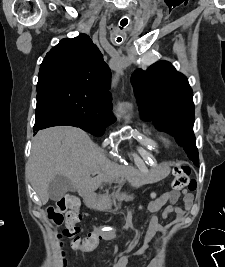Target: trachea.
Instances as JSON below:
<instances>
[{"instance_id":"1","label":"trachea","mask_w":225,"mask_h":267,"mask_svg":"<svg viewBox=\"0 0 225 267\" xmlns=\"http://www.w3.org/2000/svg\"><path fill=\"white\" fill-rule=\"evenodd\" d=\"M127 24H128V19H127V18L122 19L121 22H120L121 29H122L123 27H125Z\"/></svg>"}]
</instances>
